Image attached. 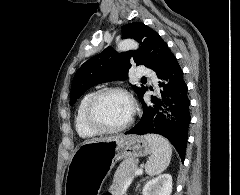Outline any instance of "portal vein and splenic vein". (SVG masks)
<instances>
[{"mask_svg":"<svg viewBox=\"0 0 240 195\" xmlns=\"http://www.w3.org/2000/svg\"><path fill=\"white\" fill-rule=\"evenodd\" d=\"M141 173H143V169H136V171H134V173H132L131 177L128 178L129 182H125L124 183V188L121 191V195H123L125 192L128 191V188L131 186V183L133 181V177H135V175H141Z\"/></svg>","mask_w":240,"mask_h":195,"instance_id":"obj_1","label":"portal vein and splenic vein"}]
</instances>
